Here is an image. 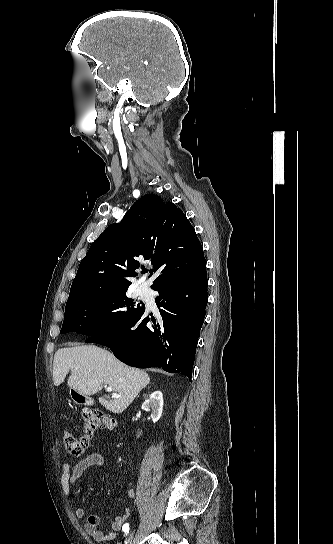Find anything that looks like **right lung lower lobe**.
Listing matches in <instances>:
<instances>
[{
	"mask_svg": "<svg viewBox=\"0 0 333 544\" xmlns=\"http://www.w3.org/2000/svg\"><path fill=\"white\" fill-rule=\"evenodd\" d=\"M207 284L206 265L190 276L164 281L154 288L160 294L155 299L158 319H150L144 310L128 324L85 342L109 347L127 365L158 367L191 379L205 317ZM150 320L152 324H148Z\"/></svg>",
	"mask_w": 333,
	"mask_h": 544,
	"instance_id": "right-lung-lower-lobe-1",
	"label": "right lung lower lobe"
}]
</instances>
